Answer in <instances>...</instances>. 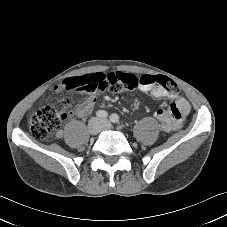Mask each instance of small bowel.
I'll return each mask as SVG.
<instances>
[{
    "label": "small bowel",
    "mask_w": 227,
    "mask_h": 227,
    "mask_svg": "<svg viewBox=\"0 0 227 227\" xmlns=\"http://www.w3.org/2000/svg\"><path fill=\"white\" fill-rule=\"evenodd\" d=\"M110 76L104 72L94 73L88 71L85 75H76L75 77L64 78L57 87L50 91L53 99L62 97L69 100L79 93H90L88 97L77 107V116H88L96 103V94L105 93L110 89ZM140 90L150 92L155 98H169L173 103L167 110L158 109L155 112V118L161 123L165 132H170L181 127L185 116L190 111L188 101L178 94H172L160 85H140ZM94 92V93H93Z\"/></svg>",
    "instance_id": "c3829d8e"
}]
</instances>
